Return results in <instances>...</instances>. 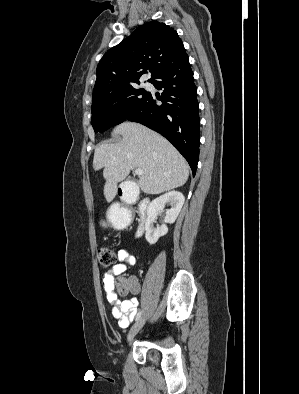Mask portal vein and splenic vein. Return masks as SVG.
<instances>
[{"label": "portal vein and splenic vein", "mask_w": 299, "mask_h": 394, "mask_svg": "<svg viewBox=\"0 0 299 394\" xmlns=\"http://www.w3.org/2000/svg\"><path fill=\"white\" fill-rule=\"evenodd\" d=\"M135 174H136V175H143L144 173H143V170H142V169H136V170H135Z\"/></svg>", "instance_id": "obj_1"}]
</instances>
